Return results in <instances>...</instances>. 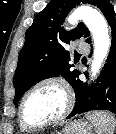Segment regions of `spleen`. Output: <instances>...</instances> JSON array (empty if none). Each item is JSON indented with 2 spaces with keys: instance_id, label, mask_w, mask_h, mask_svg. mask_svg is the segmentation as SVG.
Here are the masks:
<instances>
[{
  "instance_id": "1",
  "label": "spleen",
  "mask_w": 116,
  "mask_h": 134,
  "mask_svg": "<svg viewBox=\"0 0 116 134\" xmlns=\"http://www.w3.org/2000/svg\"><path fill=\"white\" fill-rule=\"evenodd\" d=\"M86 118L96 128V134H114L116 119L111 113L95 111L86 114Z\"/></svg>"
}]
</instances>
